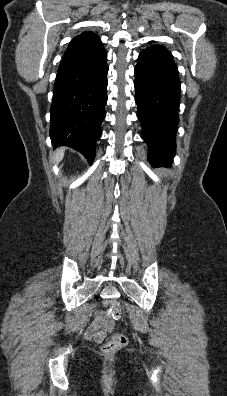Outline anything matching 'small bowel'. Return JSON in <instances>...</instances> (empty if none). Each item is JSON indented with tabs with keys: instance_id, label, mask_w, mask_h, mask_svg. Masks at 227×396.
Masks as SVG:
<instances>
[{
	"instance_id": "1",
	"label": "small bowel",
	"mask_w": 227,
	"mask_h": 396,
	"mask_svg": "<svg viewBox=\"0 0 227 396\" xmlns=\"http://www.w3.org/2000/svg\"><path fill=\"white\" fill-rule=\"evenodd\" d=\"M112 329V323L107 320L104 314L99 313L87 328L85 335L88 339L100 343L105 339L107 334L112 331Z\"/></svg>"
}]
</instances>
